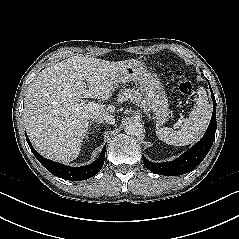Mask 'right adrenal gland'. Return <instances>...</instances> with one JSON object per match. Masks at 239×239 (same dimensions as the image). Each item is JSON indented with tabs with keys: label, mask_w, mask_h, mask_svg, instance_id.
I'll list each match as a JSON object with an SVG mask.
<instances>
[{
	"label": "right adrenal gland",
	"mask_w": 239,
	"mask_h": 239,
	"mask_svg": "<svg viewBox=\"0 0 239 239\" xmlns=\"http://www.w3.org/2000/svg\"><path fill=\"white\" fill-rule=\"evenodd\" d=\"M93 123H96V126H95V127H98L102 122H100V121H92V122H90V127H89V128H91V125H92ZM90 130H91V129H90ZM88 134H89V132L87 133L86 138H88Z\"/></svg>",
	"instance_id": "obj_1"
}]
</instances>
